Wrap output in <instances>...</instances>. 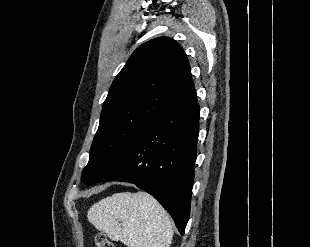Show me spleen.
Here are the masks:
<instances>
[{
	"label": "spleen",
	"mask_w": 310,
	"mask_h": 247,
	"mask_svg": "<svg viewBox=\"0 0 310 247\" xmlns=\"http://www.w3.org/2000/svg\"><path fill=\"white\" fill-rule=\"evenodd\" d=\"M87 217L97 230L128 247H169L173 238L168 213L142 191L104 198L89 209Z\"/></svg>",
	"instance_id": "3e777b00"
}]
</instances>
